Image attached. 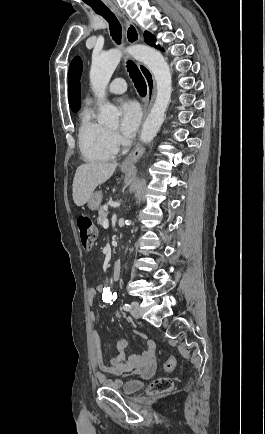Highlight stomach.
I'll use <instances>...</instances> for the list:
<instances>
[{
	"instance_id": "1",
	"label": "stomach",
	"mask_w": 265,
	"mask_h": 434,
	"mask_svg": "<svg viewBox=\"0 0 265 434\" xmlns=\"http://www.w3.org/2000/svg\"><path fill=\"white\" fill-rule=\"evenodd\" d=\"M122 172L126 174V172H129V170H132V168H126V166H121ZM102 202V192H93L92 196H90L88 200V206L90 210H98L100 204Z\"/></svg>"
}]
</instances>
